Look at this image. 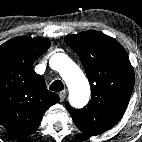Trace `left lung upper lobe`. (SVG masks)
<instances>
[{"label": "left lung upper lobe", "mask_w": 142, "mask_h": 142, "mask_svg": "<svg viewBox=\"0 0 142 142\" xmlns=\"http://www.w3.org/2000/svg\"><path fill=\"white\" fill-rule=\"evenodd\" d=\"M79 56L91 85V100L82 109L69 110L77 128L87 135L103 133L123 116L129 103L134 71L124 48L112 37L89 30L66 36Z\"/></svg>", "instance_id": "1"}]
</instances>
